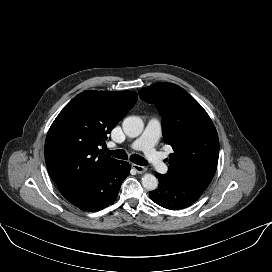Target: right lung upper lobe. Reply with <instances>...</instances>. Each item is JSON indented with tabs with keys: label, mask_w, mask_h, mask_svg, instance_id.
Returning <instances> with one entry per match:
<instances>
[{
	"label": "right lung upper lobe",
	"mask_w": 272,
	"mask_h": 272,
	"mask_svg": "<svg viewBox=\"0 0 272 272\" xmlns=\"http://www.w3.org/2000/svg\"><path fill=\"white\" fill-rule=\"evenodd\" d=\"M136 100L133 91L88 90L62 109L45 142L47 169L57 186L88 181L116 160L99 147Z\"/></svg>",
	"instance_id": "cb5924a9"
}]
</instances>
